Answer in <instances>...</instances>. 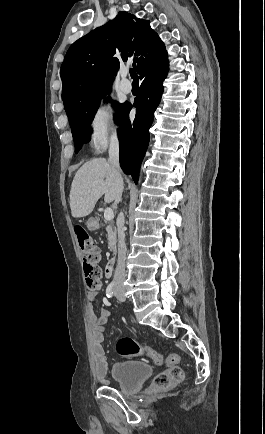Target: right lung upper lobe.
<instances>
[{
	"label": "right lung upper lobe",
	"instance_id": "right-lung-upper-lobe-1",
	"mask_svg": "<svg viewBox=\"0 0 265 434\" xmlns=\"http://www.w3.org/2000/svg\"><path fill=\"white\" fill-rule=\"evenodd\" d=\"M166 52L149 21L120 11L114 20L74 42L61 65L63 102L111 87L119 61H131L140 73L149 59Z\"/></svg>",
	"mask_w": 265,
	"mask_h": 434
}]
</instances>
